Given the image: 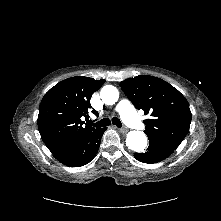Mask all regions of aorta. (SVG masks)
<instances>
[{
	"mask_svg": "<svg viewBox=\"0 0 221 221\" xmlns=\"http://www.w3.org/2000/svg\"><path fill=\"white\" fill-rule=\"evenodd\" d=\"M100 97L105 104L112 105L117 102L119 92L116 87L106 85L101 89ZM126 145L135 152H144L147 146V137L141 131H130L126 137Z\"/></svg>",
	"mask_w": 221,
	"mask_h": 221,
	"instance_id": "obj_1",
	"label": "aorta"
}]
</instances>
